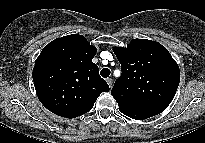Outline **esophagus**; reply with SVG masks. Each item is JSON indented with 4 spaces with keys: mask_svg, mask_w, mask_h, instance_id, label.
I'll list each match as a JSON object with an SVG mask.
<instances>
[{
    "mask_svg": "<svg viewBox=\"0 0 205 143\" xmlns=\"http://www.w3.org/2000/svg\"><path fill=\"white\" fill-rule=\"evenodd\" d=\"M106 82H107V84L109 85V87H112V83H113L112 78H107V79H106Z\"/></svg>",
    "mask_w": 205,
    "mask_h": 143,
    "instance_id": "esophagus-1",
    "label": "esophagus"
}]
</instances>
